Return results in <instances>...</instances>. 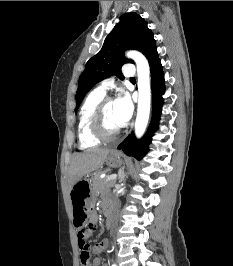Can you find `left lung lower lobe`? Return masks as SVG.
Masks as SVG:
<instances>
[{"instance_id":"left-lung-lower-lobe-1","label":"left lung lower lobe","mask_w":233,"mask_h":266,"mask_svg":"<svg viewBox=\"0 0 233 266\" xmlns=\"http://www.w3.org/2000/svg\"><path fill=\"white\" fill-rule=\"evenodd\" d=\"M150 70H151V88L153 99L152 120L149 125L146 135L137 140L133 133H131L119 146L125 154L132 155L138 160L142 159L148 152V145L151 143L153 133L158 129V121L161 113V106L163 103L162 95L164 94V74L161 66V61L158 58L157 48L155 47L146 55Z\"/></svg>"}]
</instances>
